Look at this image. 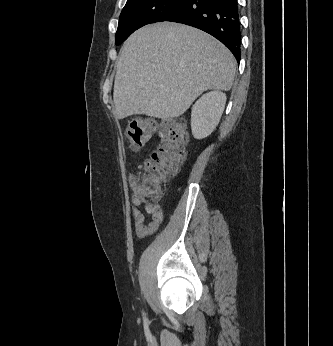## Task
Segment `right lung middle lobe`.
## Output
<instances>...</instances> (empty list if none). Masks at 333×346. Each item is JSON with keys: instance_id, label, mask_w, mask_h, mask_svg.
Instances as JSON below:
<instances>
[{"instance_id": "right-lung-middle-lobe-1", "label": "right lung middle lobe", "mask_w": 333, "mask_h": 346, "mask_svg": "<svg viewBox=\"0 0 333 346\" xmlns=\"http://www.w3.org/2000/svg\"><path fill=\"white\" fill-rule=\"evenodd\" d=\"M183 1L127 0L120 14L115 44H121L135 30L146 24L164 21Z\"/></svg>"}]
</instances>
